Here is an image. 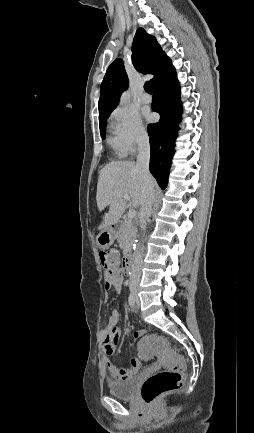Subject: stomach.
Segmentation results:
<instances>
[{"label": "stomach", "instance_id": "1", "mask_svg": "<svg viewBox=\"0 0 254 433\" xmlns=\"http://www.w3.org/2000/svg\"><path fill=\"white\" fill-rule=\"evenodd\" d=\"M116 236V230L112 227H109L99 233L96 238L97 245L100 248H108L114 243Z\"/></svg>", "mask_w": 254, "mask_h": 433}]
</instances>
